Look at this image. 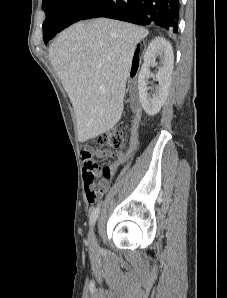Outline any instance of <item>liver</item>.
I'll return each instance as SVG.
<instances>
[{
	"label": "liver",
	"instance_id": "1",
	"mask_svg": "<svg viewBox=\"0 0 227 298\" xmlns=\"http://www.w3.org/2000/svg\"><path fill=\"white\" fill-rule=\"evenodd\" d=\"M142 27L108 18L76 23L56 38L49 59L74 107L85 142L120 120L126 82Z\"/></svg>",
	"mask_w": 227,
	"mask_h": 298
}]
</instances>
